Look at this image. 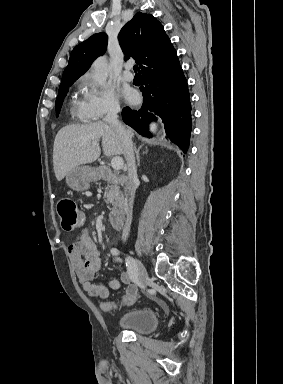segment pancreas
I'll list each match as a JSON object with an SVG mask.
<instances>
[{
    "instance_id": "cf45deb5",
    "label": "pancreas",
    "mask_w": 283,
    "mask_h": 384,
    "mask_svg": "<svg viewBox=\"0 0 283 384\" xmlns=\"http://www.w3.org/2000/svg\"><path fill=\"white\" fill-rule=\"evenodd\" d=\"M99 172L103 174V180H108V186L106 188V192L104 194V198H106V204H108L107 208L115 212L118 206L123 202L122 192L120 190V186H110V180H117V172H111L110 168H106V166H101L98 168Z\"/></svg>"
}]
</instances>
